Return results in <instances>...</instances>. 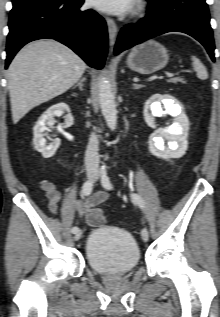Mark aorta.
<instances>
[{
  "label": "aorta",
  "mask_w": 220,
  "mask_h": 317,
  "mask_svg": "<svg viewBox=\"0 0 220 317\" xmlns=\"http://www.w3.org/2000/svg\"><path fill=\"white\" fill-rule=\"evenodd\" d=\"M99 104L107 126L114 131L117 125L115 96L110 81L105 76H101L99 80Z\"/></svg>",
  "instance_id": "1"
}]
</instances>
